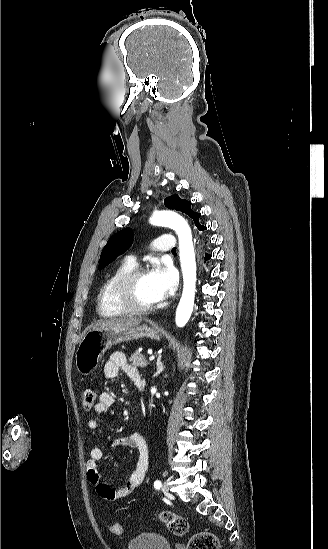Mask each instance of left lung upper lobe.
Masks as SVG:
<instances>
[{"mask_svg": "<svg viewBox=\"0 0 328 549\" xmlns=\"http://www.w3.org/2000/svg\"><path fill=\"white\" fill-rule=\"evenodd\" d=\"M164 203L169 209H175L187 214L194 220L195 225L200 231L206 229V226L199 224L201 214L192 211L190 201L182 200L178 195H172L165 198ZM132 241L133 235L129 228H125L114 234L102 250L99 260V269L106 267L109 263L114 261L116 257L124 253L131 246Z\"/></svg>", "mask_w": 328, "mask_h": 549, "instance_id": "1", "label": "left lung upper lobe"}]
</instances>
